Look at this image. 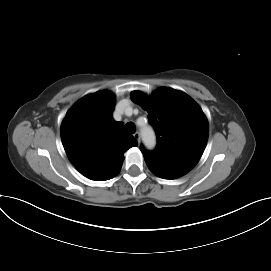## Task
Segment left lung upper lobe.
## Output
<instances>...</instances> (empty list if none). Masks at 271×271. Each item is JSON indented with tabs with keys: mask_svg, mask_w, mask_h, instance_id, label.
<instances>
[{
	"mask_svg": "<svg viewBox=\"0 0 271 271\" xmlns=\"http://www.w3.org/2000/svg\"><path fill=\"white\" fill-rule=\"evenodd\" d=\"M131 98L148 112L158 139L154 151L141 146L145 161L190 171L202 156L208 138V122L198 104L184 92L166 87L149 97L133 91Z\"/></svg>",
	"mask_w": 271,
	"mask_h": 271,
	"instance_id": "1",
	"label": "left lung upper lobe"
}]
</instances>
